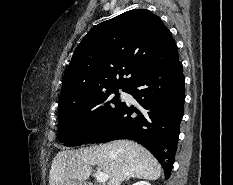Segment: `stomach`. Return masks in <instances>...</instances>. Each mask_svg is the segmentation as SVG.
Here are the masks:
<instances>
[{"instance_id": "obj_1", "label": "stomach", "mask_w": 233, "mask_h": 185, "mask_svg": "<svg viewBox=\"0 0 233 185\" xmlns=\"http://www.w3.org/2000/svg\"><path fill=\"white\" fill-rule=\"evenodd\" d=\"M64 185H87V184L78 180H68L64 183Z\"/></svg>"}]
</instances>
